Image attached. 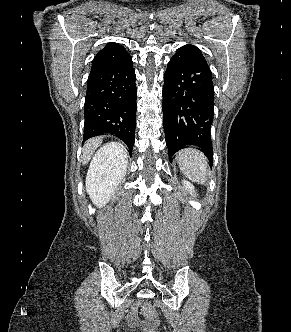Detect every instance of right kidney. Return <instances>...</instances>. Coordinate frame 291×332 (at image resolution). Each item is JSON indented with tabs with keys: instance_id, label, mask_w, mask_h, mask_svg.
<instances>
[{
	"instance_id": "ca27d5eb",
	"label": "right kidney",
	"mask_w": 291,
	"mask_h": 332,
	"mask_svg": "<svg viewBox=\"0 0 291 332\" xmlns=\"http://www.w3.org/2000/svg\"><path fill=\"white\" fill-rule=\"evenodd\" d=\"M126 167L120 144L108 143L96 152L86 177V190L94 204L102 207L109 201L124 179Z\"/></svg>"
}]
</instances>
